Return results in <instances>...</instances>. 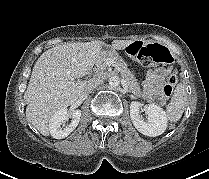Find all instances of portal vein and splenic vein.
Returning <instances> with one entry per match:
<instances>
[{
	"mask_svg": "<svg viewBox=\"0 0 209 179\" xmlns=\"http://www.w3.org/2000/svg\"><path fill=\"white\" fill-rule=\"evenodd\" d=\"M68 84H69V85H70V84H73V82L69 81Z\"/></svg>",
	"mask_w": 209,
	"mask_h": 179,
	"instance_id": "1",
	"label": "portal vein and splenic vein"
}]
</instances>
